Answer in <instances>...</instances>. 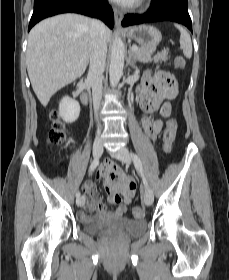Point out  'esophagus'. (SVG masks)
I'll list each match as a JSON object with an SVG mask.
<instances>
[{"mask_svg":"<svg viewBox=\"0 0 229 280\" xmlns=\"http://www.w3.org/2000/svg\"><path fill=\"white\" fill-rule=\"evenodd\" d=\"M113 12H114V17H115V25H116L117 28L121 29L122 28L121 23H122V20H123V14L116 7L113 8Z\"/></svg>","mask_w":229,"mask_h":280,"instance_id":"1","label":"esophagus"}]
</instances>
